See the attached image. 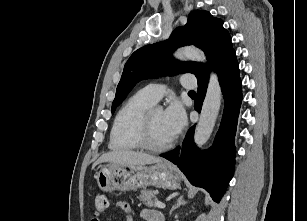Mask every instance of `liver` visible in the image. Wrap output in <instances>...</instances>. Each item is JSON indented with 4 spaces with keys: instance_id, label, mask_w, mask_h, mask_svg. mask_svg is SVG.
Wrapping results in <instances>:
<instances>
[{
    "instance_id": "liver-1",
    "label": "liver",
    "mask_w": 307,
    "mask_h": 221,
    "mask_svg": "<svg viewBox=\"0 0 307 221\" xmlns=\"http://www.w3.org/2000/svg\"><path fill=\"white\" fill-rule=\"evenodd\" d=\"M103 162L140 166L159 163L162 162V159L143 152H135L129 150L111 151L100 156V158L93 164L92 168H95V166Z\"/></svg>"
}]
</instances>
